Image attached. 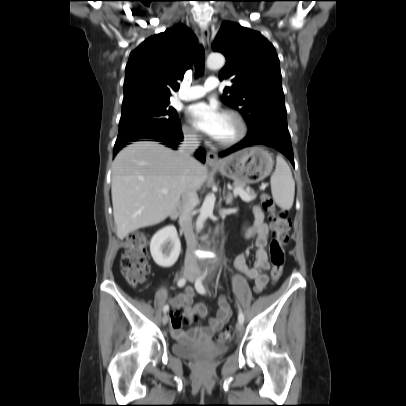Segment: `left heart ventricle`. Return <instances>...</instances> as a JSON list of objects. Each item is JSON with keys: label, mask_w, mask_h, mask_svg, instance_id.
Here are the masks:
<instances>
[{"label": "left heart ventricle", "mask_w": 406, "mask_h": 406, "mask_svg": "<svg viewBox=\"0 0 406 406\" xmlns=\"http://www.w3.org/2000/svg\"><path fill=\"white\" fill-rule=\"evenodd\" d=\"M238 132V126L235 120L229 116L223 115L221 126L217 133L216 139L228 140L234 137Z\"/></svg>", "instance_id": "obj_1"}]
</instances>
